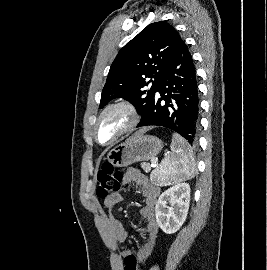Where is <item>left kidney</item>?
Wrapping results in <instances>:
<instances>
[{
	"label": "left kidney",
	"mask_w": 267,
	"mask_h": 270,
	"mask_svg": "<svg viewBox=\"0 0 267 270\" xmlns=\"http://www.w3.org/2000/svg\"><path fill=\"white\" fill-rule=\"evenodd\" d=\"M167 203L171 207L167 206ZM190 203V186L178 183L164 191L156 203V221L166 234L177 232L186 220Z\"/></svg>",
	"instance_id": "left-kidney-1"
}]
</instances>
